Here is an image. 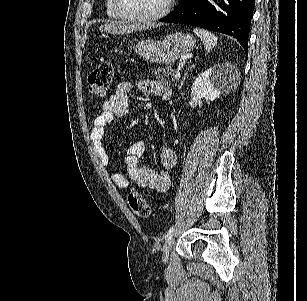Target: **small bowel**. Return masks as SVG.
Here are the masks:
<instances>
[{"mask_svg":"<svg viewBox=\"0 0 307 301\" xmlns=\"http://www.w3.org/2000/svg\"><path fill=\"white\" fill-rule=\"evenodd\" d=\"M129 83H122L118 86L114 95L110 96L102 104L101 112L94 120L90 134L91 144L100 160L106 166L109 162L107 152L103 146L107 126L115 118L126 115L130 109V101L127 91ZM141 92L151 96H164L169 94L168 87L158 81L142 80L138 83ZM145 143L143 141L134 142L127 151L126 165L127 176L116 173L112 180L121 189H126L131 183H136L143 188H149L158 192H166L170 186L169 170L175 167L177 156L175 151L168 146L160 149L159 162L161 168L155 170L146 166L139 165V159L144 154Z\"/></svg>","mask_w":307,"mask_h":301,"instance_id":"obj_1","label":"small bowel"}]
</instances>
